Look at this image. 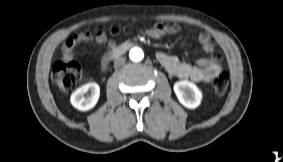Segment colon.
Listing matches in <instances>:
<instances>
[{"instance_id":"colon-1","label":"colon","mask_w":283,"mask_h":162,"mask_svg":"<svg viewBox=\"0 0 283 162\" xmlns=\"http://www.w3.org/2000/svg\"><path fill=\"white\" fill-rule=\"evenodd\" d=\"M112 34H117L119 30L112 28ZM98 33H101L98 30ZM81 75V66L75 60L59 61L53 65L52 77L58 86L64 90H71L75 87ZM229 85V75L222 72L213 81V89L217 94H224Z\"/></svg>"}]
</instances>
